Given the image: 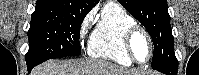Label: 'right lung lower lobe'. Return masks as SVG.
<instances>
[{
    "instance_id": "98d812e1",
    "label": "right lung lower lobe",
    "mask_w": 199,
    "mask_h": 75,
    "mask_svg": "<svg viewBox=\"0 0 199 75\" xmlns=\"http://www.w3.org/2000/svg\"><path fill=\"white\" fill-rule=\"evenodd\" d=\"M34 66H36V65L27 62L28 72H30L33 69Z\"/></svg>"
}]
</instances>
